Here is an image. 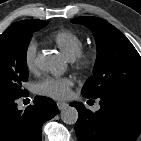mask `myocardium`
I'll return each instance as SVG.
<instances>
[{"mask_svg":"<svg viewBox=\"0 0 141 141\" xmlns=\"http://www.w3.org/2000/svg\"><path fill=\"white\" fill-rule=\"evenodd\" d=\"M71 61L76 68L83 71L89 70L96 61V52L92 49L82 50Z\"/></svg>","mask_w":141,"mask_h":141,"instance_id":"f54148a6","label":"myocardium"}]
</instances>
